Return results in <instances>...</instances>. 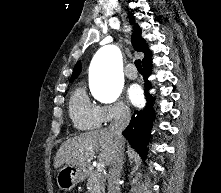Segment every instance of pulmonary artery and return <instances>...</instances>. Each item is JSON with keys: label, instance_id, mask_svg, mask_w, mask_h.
Masks as SVG:
<instances>
[{"label": "pulmonary artery", "instance_id": "1", "mask_svg": "<svg viewBox=\"0 0 221 193\" xmlns=\"http://www.w3.org/2000/svg\"><path fill=\"white\" fill-rule=\"evenodd\" d=\"M134 66L132 64L128 65L125 70V76L129 79H136L138 76V73L136 70L133 69Z\"/></svg>", "mask_w": 221, "mask_h": 193}]
</instances>
